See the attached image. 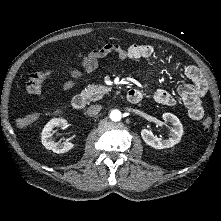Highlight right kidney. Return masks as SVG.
<instances>
[{"label":"right kidney","mask_w":221,"mask_h":221,"mask_svg":"<svg viewBox=\"0 0 221 221\" xmlns=\"http://www.w3.org/2000/svg\"><path fill=\"white\" fill-rule=\"evenodd\" d=\"M67 122L62 119H52L50 120L42 130L41 140L43 146L48 150H52L54 153H65L75 147V144L70 142H56L52 137V131L55 127L66 128Z\"/></svg>","instance_id":"1"}]
</instances>
